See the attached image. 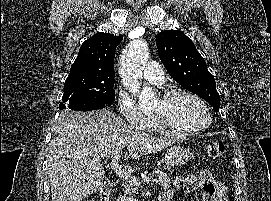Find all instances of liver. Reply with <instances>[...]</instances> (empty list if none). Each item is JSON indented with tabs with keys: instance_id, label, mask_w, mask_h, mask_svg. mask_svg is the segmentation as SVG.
<instances>
[{
	"instance_id": "liver-1",
	"label": "liver",
	"mask_w": 271,
	"mask_h": 201,
	"mask_svg": "<svg viewBox=\"0 0 271 201\" xmlns=\"http://www.w3.org/2000/svg\"><path fill=\"white\" fill-rule=\"evenodd\" d=\"M134 129L107 109L93 112L63 111L48 147V176L52 201H82L103 187L101 158L120 153L125 160L139 159L173 145Z\"/></svg>"
}]
</instances>
